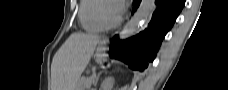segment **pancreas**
<instances>
[{
    "label": "pancreas",
    "instance_id": "pancreas-1",
    "mask_svg": "<svg viewBox=\"0 0 228 90\" xmlns=\"http://www.w3.org/2000/svg\"><path fill=\"white\" fill-rule=\"evenodd\" d=\"M90 80H93V77L81 78L76 84V90H88L90 87Z\"/></svg>",
    "mask_w": 228,
    "mask_h": 90
}]
</instances>
